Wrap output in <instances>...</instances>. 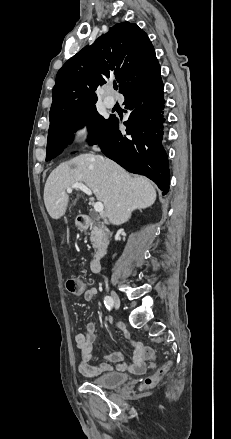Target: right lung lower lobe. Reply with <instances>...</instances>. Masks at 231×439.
<instances>
[{
  "instance_id": "98d812e1",
  "label": "right lung lower lobe",
  "mask_w": 231,
  "mask_h": 439,
  "mask_svg": "<svg viewBox=\"0 0 231 439\" xmlns=\"http://www.w3.org/2000/svg\"><path fill=\"white\" fill-rule=\"evenodd\" d=\"M129 119L120 131V122L111 118V124L98 145L101 151L127 171L145 175L153 180L162 194L169 190L170 174L167 154L163 148L164 98L160 75L125 95Z\"/></svg>"
}]
</instances>
